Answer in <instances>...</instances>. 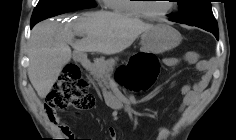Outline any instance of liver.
I'll list each match as a JSON object with an SVG mask.
<instances>
[{"label": "liver", "mask_w": 236, "mask_h": 140, "mask_svg": "<svg viewBox=\"0 0 236 140\" xmlns=\"http://www.w3.org/2000/svg\"><path fill=\"white\" fill-rule=\"evenodd\" d=\"M144 23L119 13L99 11L85 13L71 26L56 21H43L34 26L29 42L28 77L40 98L51 91L62 69L75 53H120L136 38L151 29ZM83 38L74 41V36Z\"/></svg>", "instance_id": "liver-1"}]
</instances>
